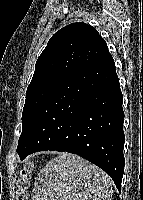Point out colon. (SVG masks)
I'll return each mask as SVG.
<instances>
[{"instance_id": "5ec220e1", "label": "colon", "mask_w": 143, "mask_h": 200, "mask_svg": "<svg viewBox=\"0 0 143 200\" xmlns=\"http://www.w3.org/2000/svg\"><path fill=\"white\" fill-rule=\"evenodd\" d=\"M32 169V163H26L18 171L16 178V200H28Z\"/></svg>"}]
</instances>
